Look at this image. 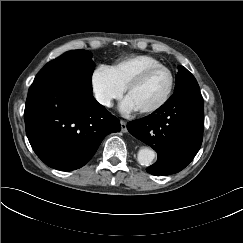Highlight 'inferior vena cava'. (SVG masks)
Listing matches in <instances>:
<instances>
[{
  "label": "inferior vena cava",
  "mask_w": 243,
  "mask_h": 243,
  "mask_svg": "<svg viewBox=\"0 0 243 243\" xmlns=\"http://www.w3.org/2000/svg\"><path fill=\"white\" fill-rule=\"evenodd\" d=\"M97 101L104 106H107V107L111 106L110 100L108 98L103 97V96H98Z\"/></svg>",
  "instance_id": "obj_1"
}]
</instances>
